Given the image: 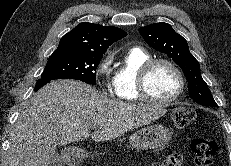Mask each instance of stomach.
I'll return each mask as SVG.
<instances>
[{
  "label": "stomach",
  "instance_id": "obj_1",
  "mask_svg": "<svg viewBox=\"0 0 231 166\" xmlns=\"http://www.w3.org/2000/svg\"><path fill=\"white\" fill-rule=\"evenodd\" d=\"M171 135V130L164 125H150L134 132L129 138V143L137 150L158 149L170 141ZM85 155L83 150L66 149L64 160L66 163L75 164L81 161Z\"/></svg>",
  "mask_w": 231,
  "mask_h": 166
}]
</instances>
